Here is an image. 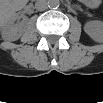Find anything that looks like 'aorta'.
Masks as SVG:
<instances>
[{
	"instance_id": "aorta-1",
	"label": "aorta",
	"mask_w": 103,
	"mask_h": 103,
	"mask_svg": "<svg viewBox=\"0 0 103 103\" xmlns=\"http://www.w3.org/2000/svg\"><path fill=\"white\" fill-rule=\"evenodd\" d=\"M59 5H60L59 0H49V1H48V7H49V8L55 9V8H58Z\"/></svg>"
}]
</instances>
